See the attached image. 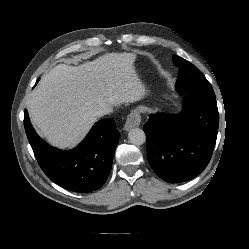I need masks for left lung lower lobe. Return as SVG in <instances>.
I'll return each mask as SVG.
<instances>
[{
	"instance_id": "0a47b994",
	"label": "left lung lower lobe",
	"mask_w": 249,
	"mask_h": 249,
	"mask_svg": "<svg viewBox=\"0 0 249 249\" xmlns=\"http://www.w3.org/2000/svg\"><path fill=\"white\" fill-rule=\"evenodd\" d=\"M218 126L215 95L205 93L187 94L177 116L151 115L143 127L150 166L169 183L196 177L211 159Z\"/></svg>"
}]
</instances>
